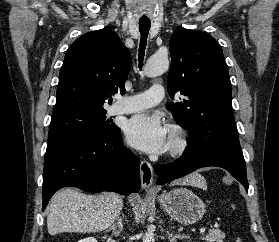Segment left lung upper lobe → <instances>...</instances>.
Instances as JSON below:
<instances>
[{
	"label": "left lung upper lobe",
	"mask_w": 279,
	"mask_h": 242,
	"mask_svg": "<svg viewBox=\"0 0 279 242\" xmlns=\"http://www.w3.org/2000/svg\"><path fill=\"white\" fill-rule=\"evenodd\" d=\"M171 69L167 87L177 123L190 138L184 155L220 154L243 159L231 105V82L220 44L210 35L188 29L170 39Z\"/></svg>",
	"instance_id": "left-lung-upper-lobe-1"
}]
</instances>
